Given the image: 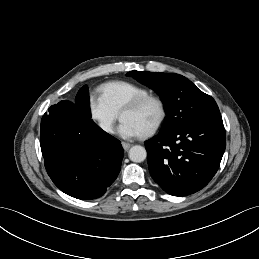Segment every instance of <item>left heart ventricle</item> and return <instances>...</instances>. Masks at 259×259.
<instances>
[{
    "mask_svg": "<svg viewBox=\"0 0 259 259\" xmlns=\"http://www.w3.org/2000/svg\"><path fill=\"white\" fill-rule=\"evenodd\" d=\"M159 115L158 105L149 101L133 112L124 113L121 119L132 123L140 133H144L157 122Z\"/></svg>",
    "mask_w": 259,
    "mask_h": 259,
    "instance_id": "1",
    "label": "left heart ventricle"
}]
</instances>
